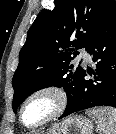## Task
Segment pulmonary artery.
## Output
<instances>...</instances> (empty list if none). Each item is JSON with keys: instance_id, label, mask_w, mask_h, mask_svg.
Wrapping results in <instances>:
<instances>
[{"instance_id": "1", "label": "pulmonary artery", "mask_w": 116, "mask_h": 134, "mask_svg": "<svg viewBox=\"0 0 116 134\" xmlns=\"http://www.w3.org/2000/svg\"><path fill=\"white\" fill-rule=\"evenodd\" d=\"M92 59L91 57V54L85 50V49H82L77 57V60L80 61V60H85L87 62H90Z\"/></svg>"}]
</instances>
